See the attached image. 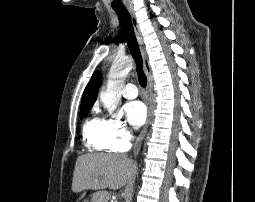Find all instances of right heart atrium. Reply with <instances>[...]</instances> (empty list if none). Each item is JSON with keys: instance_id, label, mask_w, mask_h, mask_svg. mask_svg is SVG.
Here are the masks:
<instances>
[{"instance_id": "1", "label": "right heart atrium", "mask_w": 255, "mask_h": 202, "mask_svg": "<svg viewBox=\"0 0 255 202\" xmlns=\"http://www.w3.org/2000/svg\"><path fill=\"white\" fill-rule=\"evenodd\" d=\"M132 139V134L124 121L118 118L107 120V141L109 149L120 151L125 149Z\"/></svg>"}]
</instances>
